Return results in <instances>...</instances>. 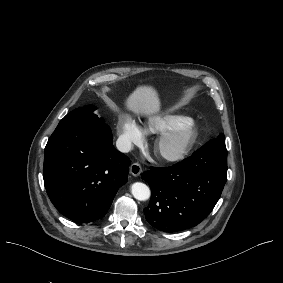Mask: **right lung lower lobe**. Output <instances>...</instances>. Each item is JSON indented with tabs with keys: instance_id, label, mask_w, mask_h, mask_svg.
Here are the masks:
<instances>
[{
	"instance_id": "98d812e1",
	"label": "right lung lower lobe",
	"mask_w": 283,
	"mask_h": 283,
	"mask_svg": "<svg viewBox=\"0 0 283 283\" xmlns=\"http://www.w3.org/2000/svg\"><path fill=\"white\" fill-rule=\"evenodd\" d=\"M130 159L112 144L109 126L59 125L45 147L43 178L56 209L88 223L105 216L127 182Z\"/></svg>"
}]
</instances>
